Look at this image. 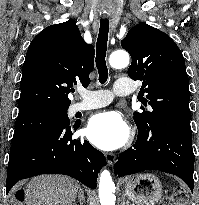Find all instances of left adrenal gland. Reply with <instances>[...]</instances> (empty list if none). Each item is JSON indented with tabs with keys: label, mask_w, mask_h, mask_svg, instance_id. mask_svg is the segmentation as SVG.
Instances as JSON below:
<instances>
[{
	"label": "left adrenal gland",
	"mask_w": 199,
	"mask_h": 205,
	"mask_svg": "<svg viewBox=\"0 0 199 205\" xmlns=\"http://www.w3.org/2000/svg\"><path fill=\"white\" fill-rule=\"evenodd\" d=\"M121 205H129L128 202L125 200V196L122 197Z\"/></svg>",
	"instance_id": "left-adrenal-gland-1"
}]
</instances>
